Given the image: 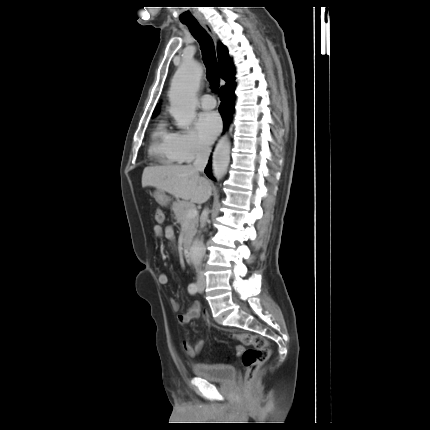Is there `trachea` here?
<instances>
[{
  "instance_id": "obj_1",
  "label": "trachea",
  "mask_w": 430,
  "mask_h": 430,
  "mask_svg": "<svg viewBox=\"0 0 430 430\" xmlns=\"http://www.w3.org/2000/svg\"><path fill=\"white\" fill-rule=\"evenodd\" d=\"M193 37L199 42L202 59L207 69V79L213 90L220 82V69L217 63L215 47L212 38L199 23H186Z\"/></svg>"
}]
</instances>
